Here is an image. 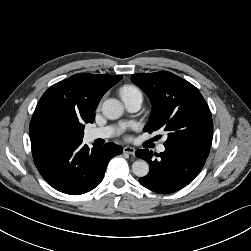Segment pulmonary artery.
<instances>
[{
    "label": "pulmonary artery",
    "instance_id": "obj_1",
    "mask_svg": "<svg viewBox=\"0 0 251 251\" xmlns=\"http://www.w3.org/2000/svg\"><path fill=\"white\" fill-rule=\"evenodd\" d=\"M124 104L128 111L136 112L140 109L142 104V96L136 95L132 97H127L123 99ZM116 134V129L112 126H106L101 128H93L86 132L85 136L88 141H93L99 138H110ZM158 152L165 151V145L160 144L157 147Z\"/></svg>",
    "mask_w": 251,
    "mask_h": 251
}]
</instances>
